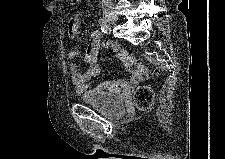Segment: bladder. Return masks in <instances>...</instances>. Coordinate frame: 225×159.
<instances>
[{"label": "bladder", "mask_w": 225, "mask_h": 159, "mask_svg": "<svg viewBox=\"0 0 225 159\" xmlns=\"http://www.w3.org/2000/svg\"><path fill=\"white\" fill-rule=\"evenodd\" d=\"M79 100L110 117H119L125 112V103L121 97L98 87L85 89L79 94Z\"/></svg>", "instance_id": "bladder-1"}]
</instances>
